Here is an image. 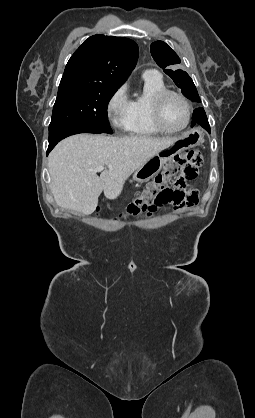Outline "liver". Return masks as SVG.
I'll list each match as a JSON object with an SVG mask.
<instances>
[{
  "mask_svg": "<svg viewBox=\"0 0 255 418\" xmlns=\"http://www.w3.org/2000/svg\"><path fill=\"white\" fill-rule=\"evenodd\" d=\"M179 138L111 137L78 134L61 141L50 153V189L58 206L91 214L104 192L116 199L127 178ZM107 166L100 177L94 169Z\"/></svg>",
  "mask_w": 255,
  "mask_h": 418,
  "instance_id": "6515ba94",
  "label": "liver"
}]
</instances>
